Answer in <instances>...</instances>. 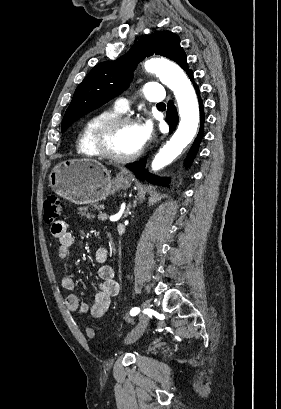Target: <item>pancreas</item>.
Returning <instances> with one entry per match:
<instances>
[{
	"label": "pancreas",
	"mask_w": 281,
	"mask_h": 409,
	"mask_svg": "<svg viewBox=\"0 0 281 409\" xmlns=\"http://www.w3.org/2000/svg\"><path fill=\"white\" fill-rule=\"evenodd\" d=\"M98 207H99V209H104L103 205H98ZM79 211H82V213H81L82 217H87V219H95V215H91V213H87L88 207H81V209H79Z\"/></svg>",
	"instance_id": "pancreas-1"
}]
</instances>
